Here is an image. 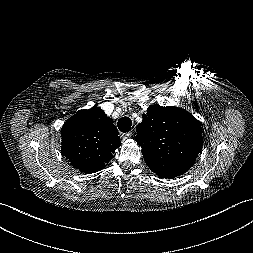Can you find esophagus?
<instances>
[{"mask_svg": "<svg viewBox=\"0 0 253 253\" xmlns=\"http://www.w3.org/2000/svg\"><path fill=\"white\" fill-rule=\"evenodd\" d=\"M131 136H132L131 132L124 133V134H122V139H123V141H125V140L131 138Z\"/></svg>", "mask_w": 253, "mask_h": 253, "instance_id": "1", "label": "esophagus"}]
</instances>
